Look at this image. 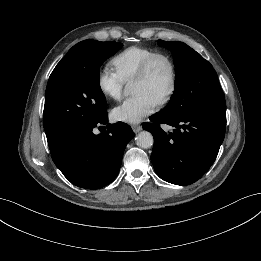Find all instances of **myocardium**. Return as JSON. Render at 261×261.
<instances>
[{"mask_svg":"<svg viewBox=\"0 0 261 261\" xmlns=\"http://www.w3.org/2000/svg\"><path fill=\"white\" fill-rule=\"evenodd\" d=\"M163 59L165 60L169 67H170V72H171V80H170V85L166 93L158 100L157 104L162 106L167 104L171 98L173 97L176 87H177V82H178V70L177 66L175 64L174 59L167 53L165 52H157L154 55L150 56L142 65L140 68L139 72L136 74L134 77V80H144L149 77L151 70L154 66V64L159 60Z\"/></svg>","mask_w":261,"mask_h":261,"instance_id":"1","label":"myocardium"}]
</instances>
